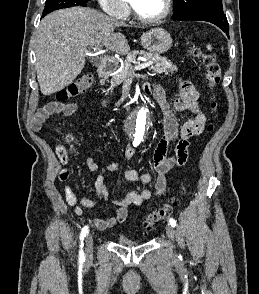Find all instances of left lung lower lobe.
Here are the masks:
<instances>
[{
  "label": "left lung lower lobe",
  "instance_id": "0a47b994",
  "mask_svg": "<svg viewBox=\"0 0 259 294\" xmlns=\"http://www.w3.org/2000/svg\"><path fill=\"white\" fill-rule=\"evenodd\" d=\"M173 20H201L211 22L221 28L229 37V24L224 12L200 11L186 16L173 17Z\"/></svg>",
  "mask_w": 259,
  "mask_h": 294
}]
</instances>
